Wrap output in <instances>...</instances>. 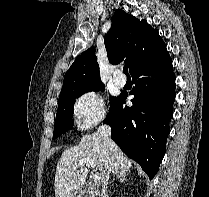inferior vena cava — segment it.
<instances>
[{
    "label": "inferior vena cava",
    "mask_w": 209,
    "mask_h": 197,
    "mask_svg": "<svg viewBox=\"0 0 209 197\" xmlns=\"http://www.w3.org/2000/svg\"><path fill=\"white\" fill-rule=\"evenodd\" d=\"M97 134L103 138V140L105 141V143L108 146L112 145V140L110 139V135H111V128L108 125H102L98 128ZM111 172V168L108 170L104 182H103V190H102V197H108L107 196V192H106V186L109 180V174Z\"/></svg>",
    "instance_id": "obj_1"
}]
</instances>
